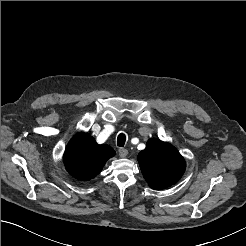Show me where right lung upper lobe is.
Returning a JSON list of instances; mask_svg holds the SVG:
<instances>
[{
	"mask_svg": "<svg viewBox=\"0 0 246 246\" xmlns=\"http://www.w3.org/2000/svg\"><path fill=\"white\" fill-rule=\"evenodd\" d=\"M115 155L112 147L96 143L88 133H78L68 143L63 162L66 170L80 180H90L98 175L106 161Z\"/></svg>",
	"mask_w": 246,
	"mask_h": 246,
	"instance_id": "right-lung-upper-lobe-1",
	"label": "right lung upper lobe"
}]
</instances>
